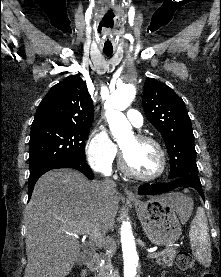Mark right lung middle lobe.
<instances>
[{"mask_svg":"<svg viewBox=\"0 0 221 277\" xmlns=\"http://www.w3.org/2000/svg\"><path fill=\"white\" fill-rule=\"evenodd\" d=\"M91 126L41 125L31 128L30 177L61 163L86 161L85 140Z\"/></svg>","mask_w":221,"mask_h":277,"instance_id":"obj_1","label":"right lung middle lobe"}]
</instances>
